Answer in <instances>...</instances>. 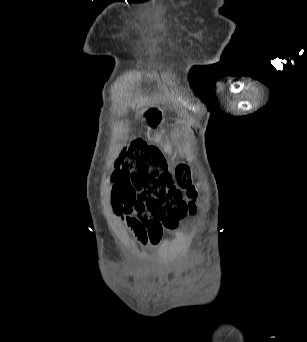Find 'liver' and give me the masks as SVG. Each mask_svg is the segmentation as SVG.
Returning <instances> with one entry per match:
<instances>
[{
  "mask_svg": "<svg viewBox=\"0 0 307 342\" xmlns=\"http://www.w3.org/2000/svg\"><path fill=\"white\" fill-rule=\"evenodd\" d=\"M145 102H149V98H143V100H140L141 106H145ZM134 108V106H133Z\"/></svg>",
  "mask_w": 307,
  "mask_h": 342,
  "instance_id": "1",
  "label": "liver"
}]
</instances>
